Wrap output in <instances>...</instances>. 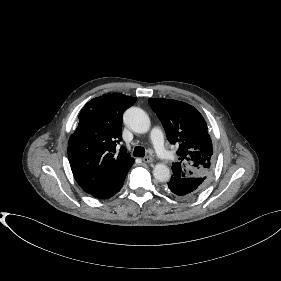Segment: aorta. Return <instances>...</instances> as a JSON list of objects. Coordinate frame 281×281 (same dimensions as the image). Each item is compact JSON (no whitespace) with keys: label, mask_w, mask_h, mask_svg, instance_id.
I'll use <instances>...</instances> for the list:
<instances>
[{"label":"aorta","mask_w":281,"mask_h":281,"mask_svg":"<svg viewBox=\"0 0 281 281\" xmlns=\"http://www.w3.org/2000/svg\"><path fill=\"white\" fill-rule=\"evenodd\" d=\"M124 122L136 133L148 132L151 125L146 112L138 107H130L125 111ZM153 175L159 182H167L171 177L169 167L162 163L155 165Z\"/></svg>","instance_id":"762f6f07"}]
</instances>
